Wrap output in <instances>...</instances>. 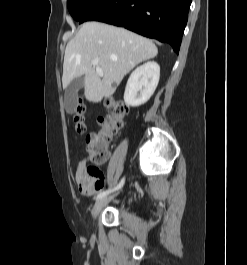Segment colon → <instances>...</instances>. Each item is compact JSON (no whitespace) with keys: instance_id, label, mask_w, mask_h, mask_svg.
Here are the masks:
<instances>
[{"instance_id":"5ec220e1","label":"colon","mask_w":247,"mask_h":265,"mask_svg":"<svg viewBox=\"0 0 247 265\" xmlns=\"http://www.w3.org/2000/svg\"><path fill=\"white\" fill-rule=\"evenodd\" d=\"M108 116L99 119V128L85 136L87 143V157L84 160L85 170L90 176L102 175L98 166L109 157L108 144L120 132L128 114V106L120 100L109 98L106 100ZM85 107L80 101L73 115L76 131L83 135L86 132L84 117Z\"/></svg>"}]
</instances>
